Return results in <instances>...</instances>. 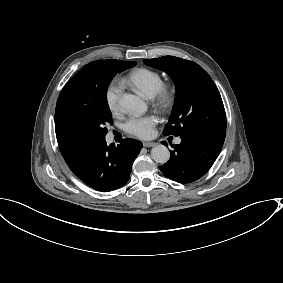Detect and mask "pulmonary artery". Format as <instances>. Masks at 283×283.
Returning a JSON list of instances; mask_svg holds the SVG:
<instances>
[{
	"label": "pulmonary artery",
	"instance_id": "obj_1",
	"mask_svg": "<svg viewBox=\"0 0 283 283\" xmlns=\"http://www.w3.org/2000/svg\"><path fill=\"white\" fill-rule=\"evenodd\" d=\"M112 140H113V136H112L111 133H109V134L107 135L106 141H107V143L109 144V143L112 142ZM175 142H176V144H179V143L181 142V139H180V138H177Z\"/></svg>",
	"mask_w": 283,
	"mask_h": 283
}]
</instances>
